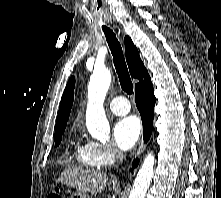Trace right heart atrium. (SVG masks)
<instances>
[{
    "instance_id": "obj_1",
    "label": "right heart atrium",
    "mask_w": 221,
    "mask_h": 198,
    "mask_svg": "<svg viewBox=\"0 0 221 198\" xmlns=\"http://www.w3.org/2000/svg\"><path fill=\"white\" fill-rule=\"evenodd\" d=\"M91 147L97 166L111 165L121 157V153L112 143L91 142Z\"/></svg>"
}]
</instances>
